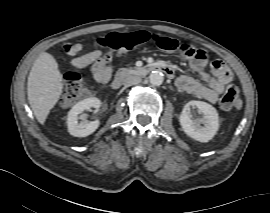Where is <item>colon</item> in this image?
<instances>
[{
    "label": "colon",
    "instance_id": "5ec220e1",
    "mask_svg": "<svg viewBox=\"0 0 270 213\" xmlns=\"http://www.w3.org/2000/svg\"><path fill=\"white\" fill-rule=\"evenodd\" d=\"M145 44H155L159 48L171 51L180 48L186 56L194 57L197 60H205L206 53L202 49L193 48L189 43L179 44L176 40L157 34H150L145 31L135 33H113L108 38L101 39L98 43L103 50V57L108 58L115 53L140 48ZM214 72L220 78H226L230 72L228 67L218 62L213 64ZM90 91L89 85L78 74H70L64 81L61 103L72 106L87 97ZM241 91L238 85L230 83L225 89L221 98L220 106L222 110L229 111L241 107Z\"/></svg>",
    "mask_w": 270,
    "mask_h": 213
}]
</instances>
